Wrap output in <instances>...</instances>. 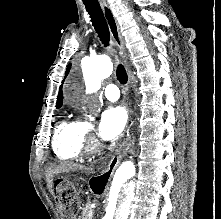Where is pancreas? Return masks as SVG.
Returning a JSON list of instances; mask_svg holds the SVG:
<instances>
[{
    "instance_id": "obj_1",
    "label": "pancreas",
    "mask_w": 221,
    "mask_h": 219,
    "mask_svg": "<svg viewBox=\"0 0 221 219\" xmlns=\"http://www.w3.org/2000/svg\"><path fill=\"white\" fill-rule=\"evenodd\" d=\"M91 212L93 213L91 207L89 205H86L82 210L81 219H92L93 214L91 215Z\"/></svg>"
}]
</instances>
